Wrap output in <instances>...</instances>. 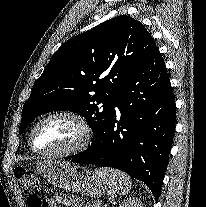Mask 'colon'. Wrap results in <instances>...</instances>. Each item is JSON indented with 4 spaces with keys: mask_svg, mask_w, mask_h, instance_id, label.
<instances>
[{
    "mask_svg": "<svg viewBox=\"0 0 206 207\" xmlns=\"http://www.w3.org/2000/svg\"><path fill=\"white\" fill-rule=\"evenodd\" d=\"M15 177L22 191L28 195L29 207H49V203L35 193L37 180L31 172L19 167L15 170Z\"/></svg>",
    "mask_w": 206,
    "mask_h": 207,
    "instance_id": "obj_1",
    "label": "colon"
}]
</instances>
